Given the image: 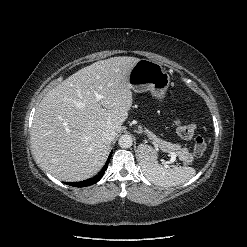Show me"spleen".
<instances>
[{
  "instance_id": "obj_1",
  "label": "spleen",
  "mask_w": 247,
  "mask_h": 247,
  "mask_svg": "<svg viewBox=\"0 0 247 247\" xmlns=\"http://www.w3.org/2000/svg\"><path fill=\"white\" fill-rule=\"evenodd\" d=\"M142 168L145 176L150 181L162 187L184 184L196 174L195 169L192 167L165 168L160 164L150 161H142Z\"/></svg>"
}]
</instances>
